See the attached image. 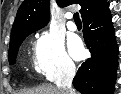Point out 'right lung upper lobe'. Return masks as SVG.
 I'll return each instance as SVG.
<instances>
[{"mask_svg": "<svg viewBox=\"0 0 121 94\" xmlns=\"http://www.w3.org/2000/svg\"><path fill=\"white\" fill-rule=\"evenodd\" d=\"M60 7L71 4L81 6L82 18L98 9L106 0H56ZM49 0H24L18 9L14 21L10 41L27 30H38L44 27L50 19Z\"/></svg>", "mask_w": 121, "mask_h": 94, "instance_id": "obj_1", "label": "right lung upper lobe"}]
</instances>
